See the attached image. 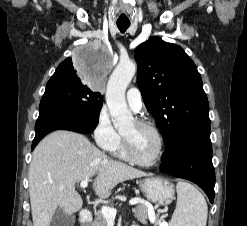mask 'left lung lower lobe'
<instances>
[{
  "instance_id": "0a47b994",
  "label": "left lung lower lobe",
  "mask_w": 247,
  "mask_h": 226,
  "mask_svg": "<svg viewBox=\"0 0 247 226\" xmlns=\"http://www.w3.org/2000/svg\"><path fill=\"white\" fill-rule=\"evenodd\" d=\"M160 170L198 184L213 203L215 171L212 164L210 124L189 129L166 147Z\"/></svg>"
}]
</instances>
